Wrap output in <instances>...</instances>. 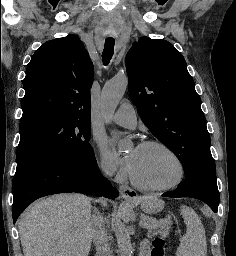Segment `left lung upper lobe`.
<instances>
[{
  "label": "left lung upper lobe",
  "instance_id": "1",
  "mask_svg": "<svg viewBox=\"0 0 236 256\" xmlns=\"http://www.w3.org/2000/svg\"><path fill=\"white\" fill-rule=\"evenodd\" d=\"M126 69L143 123L176 154L185 179L216 178L205 116L183 56L166 40L142 37L129 50Z\"/></svg>",
  "mask_w": 236,
  "mask_h": 256
}]
</instances>
